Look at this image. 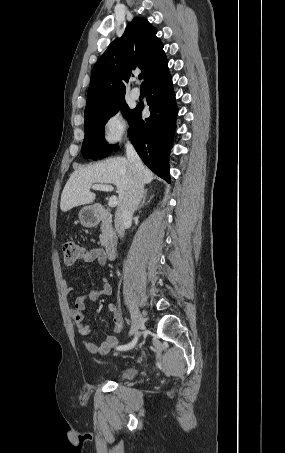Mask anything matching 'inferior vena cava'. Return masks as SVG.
<instances>
[{
  "label": "inferior vena cava",
  "instance_id": "602c4592",
  "mask_svg": "<svg viewBox=\"0 0 285 453\" xmlns=\"http://www.w3.org/2000/svg\"><path fill=\"white\" fill-rule=\"evenodd\" d=\"M126 156L132 169V177L127 194L119 204L115 213V228L120 238L124 237L126 227L131 224L144 192V166L133 145L128 141L125 145Z\"/></svg>",
  "mask_w": 285,
  "mask_h": 453
}]
</instances>
